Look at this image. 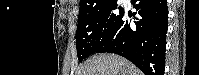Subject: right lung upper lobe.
<instances>
[{
	"instance_id": "cb5924a9",
	"label": "right lung upper lobe",
	"mask_w": 199,
	"mask_h": 75,
	"mask_svg": "<svg viewBox=\"0 0 199 75\" xmlns=\"http://www.w3.org/2000/svg\"><path fill=\"white\" fill-rule=\"evenodd\" d=\"M108 1L111 0H81L79 14L91 10Z\"/></svg>"
}]
</instances>
